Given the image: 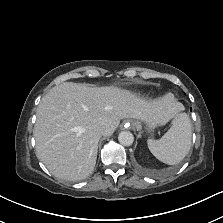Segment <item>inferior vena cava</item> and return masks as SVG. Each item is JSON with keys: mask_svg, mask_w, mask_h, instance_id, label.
<instances>
[{"mask_svg": "<svg viewBox=\"0 0 223 223\" xmlns=\"http://www.w3.org/2000/svg\"><path fill=\"white\" fill-rule=\"evenodd\" d=\"M94 130H95V132H96L99 136H102V135H104V133H105V128H104L103 125H96V126L94 127Z\"/></svg>", "mask_w": 223, "mask_h": 223, "instance_id": "1", "label": "inferior vena cava"}]
</instances>
